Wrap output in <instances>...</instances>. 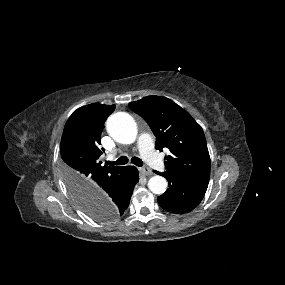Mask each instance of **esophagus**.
I'll list each match as a JSON object with an SVG mask.
<instances>
[{"instance_id":"1","label":"esophagus","mask_w":285,"mask_h":285,"mask_svg":"<svg viewBox=\"0 0 285 285\" xmlns=\"http://www.w3.org/2000/svg\"><path fill=\"white\" fill-rule=\"evenodd\" d=\"M140 173H141L142 175L149 176V175L152 174V171H151V169L148 168V167H142V168H140Z\"/></svg>"}]
</instances>
